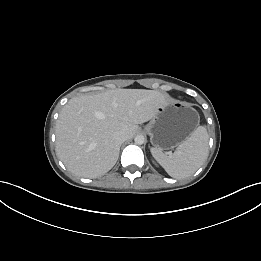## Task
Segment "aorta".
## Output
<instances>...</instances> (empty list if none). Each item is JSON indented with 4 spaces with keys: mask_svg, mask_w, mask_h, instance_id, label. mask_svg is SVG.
<instances>
[{
    "mask_svg": "<svg viewBox=\"0 0 261 261\" xmlns=\"http://www.w3.org/2000/svg\"><path fill=\"white\" fill-rule=\"evenodd\" d=\"M134 141L137 145H142L145 142V137L143 135H137L135 136Z\"/></svg>",
    "mask_w": 261,
    "mask_h": 261,
    "instance_id": "1",
    "label": "aorta"
}]
</instances>
